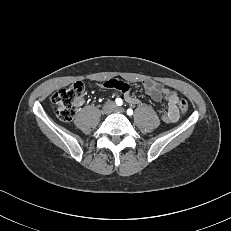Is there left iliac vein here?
I'll return each instance as SVG.
<instances>
[{"instance_id": "4c4485c4", "label": "left iliac vein", "mask_w": 231, "mask_h": 231, "mask_svg": "<svg viewBox=\"0 0 231 231\" xmlns=\"http://www.w3.org/2000/svg\"><path fill=\"white\" fill-rule=\"evenodd\" d=\"M114 111L117 113H121V114L125 112L124 108H122V107H115Z\"/></svg>"}]
</instances>
